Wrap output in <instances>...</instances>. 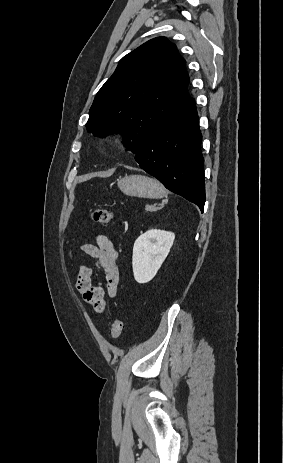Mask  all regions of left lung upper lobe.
Segmentation results:
<instances>
[{
	"label": "left lung upper lobe",
	"mask_w": 283,
	"mask_h": 463,
	"mask_svg": "<svg viewBox=\"0 0 283 463\" xmlns=\"http://www.w3.org/2000/svg\"><path fill=\"white\" fill-rule=\"evenodd\" d=\"M188 82L176 46L165 37L151 39L120 60L94 99L86 129L100 137L120 132L125 146L137 153L192 100Z\"/></svg>",
	"instance_id": "obj_1"
}]
</instances>
